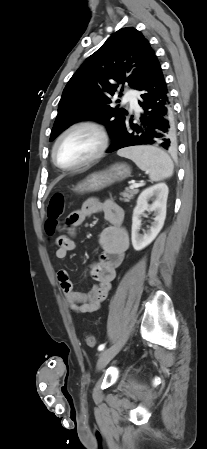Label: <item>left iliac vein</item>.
<instances>
[{
	"label": "left iliac vein",
	"instance_id": "obj_1",
	"mask_svg": "<svg viewBox=\"0 0 207 449\" xmlns=\"http://www.w3.org/2000/svg\"><path fill=\"white\" fill-rule=\"evenodd\" d=\"M125 340H122L113 346L109 347L108 349L104 350L98 359L97 362V368L99 370L103 369L113 358L114 356L120 351L122 346L124 345Z\"/></svg>",
	"mask_w": 207,
	"mask_h": 449
}]
</instances>
